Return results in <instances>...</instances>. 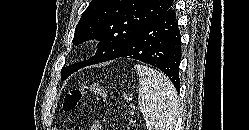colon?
<instances>
[{"label": "colon", "mask_w": 249, "mask_h": 130, "mask_svg": "<svg viewBox=\"0 0 249 130\" xmlns=\"http://www.w3.org/2000/svg\"><path fill=\"white\" fill-rule=\"evenodd\" d=\"M88 97H93L97 101L105 100V91L97 83L82 82L72 88L64 97L63 110L66 112L74 110L79 103Z\"/></svg>", "instance_id": "5ec220e1"}]
</instances>
